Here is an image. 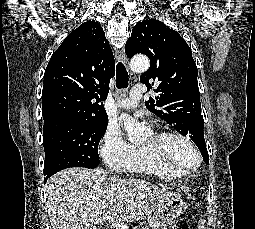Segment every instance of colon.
Masks as SVG:
<instances>
[{
    "mask_svg": "<svg viewBox=\"0 0 255 229\" xmlns=\"http://www.w3.org/2000/svg\"><path fill=\"white\" fill-rule=\"evenodd\" d=\"M173 229H192L190 223L186 220H179L174 225Z\"/></svg>",
    "mask_w": 255,
    "mask_h": 229,
    "instance_id": "colon-1",
    "label": "colon"
}]
</instances>
